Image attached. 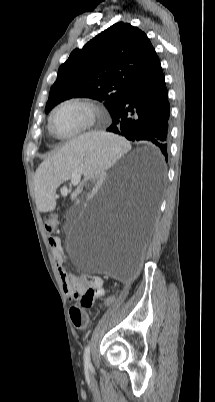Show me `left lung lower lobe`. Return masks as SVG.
<instances>
[{
  "mask_svg": "<svg viewBox=\"0 0 215 402\" xmlns=\"http://www.w3.org/2000/svg\"><path fill=\"white\" fill-rule=\"evenodd\" d=\"M170 104L164 74L158 59L129 87L113 113L108 132L130 141L155 145L168 158ZM162 174V172H161ZM156 175L148 178V189L156 191Z\"/></svg>",
  "mask_w": 215,
  "mask_h": 402,
  "instance_id": "left-lung-lower-lobe-1",
  "label": "left lung lower lobe"
}]
</instances>
